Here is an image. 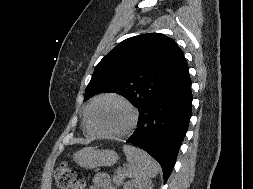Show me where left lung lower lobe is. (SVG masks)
<instances>
[{
	"mask_svg": "<svg viewBox=\"0 0 253 189\" xmlns=\"http://www.w3.org/2000/svg\"><path fill=\"white\" fill-rule=\"evenodd\" d=\"M187 63L177 76L139 110L137 129L127 142L147 151L162 167L166 183L192 114Z\"/></svg>",
	"mask_w": 253,
	"mask_h": 189,
	"instance_id": "left-lung-lower-lobe-1",
	"label": "left lung lower lobe"
}]
</instances>
